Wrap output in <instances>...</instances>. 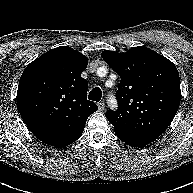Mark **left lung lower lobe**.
Returning <instances> with one entry per match:
<instances>
[{"label": "left lung lower lobe", "mask_w": 193, "mask_h": 193, "mask_svg": "<svg viewBox=\"0 0 193 193\" xmlns=\"http://www.w3.org/2000/svg\"><path fill=\"white\" fill-rule=\"evenodd\" d=\"M120 140L133 147H143L160 135L158 134H137V133H125L122 131L114 130Z\"/></svg>", "instance_id": "1"}]
</instances>
